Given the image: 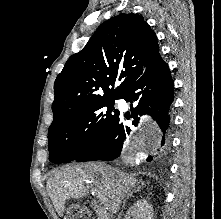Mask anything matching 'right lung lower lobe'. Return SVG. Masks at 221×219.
<instances>
[{
	"mask_svg": "<svg viewBox=\"0 0 221 219\" xmlns=\"http://www.w3.org/2000/svg\"><path fill=\"white\" fill-rule=\"evenodd\" d=\"M173 89L169 67L159 56L121 96L131 103L133 125L137 126L140 123L147 129L145 139L151 143V147L147 149V162L162 160L169 150L168 129L170 107L174 98ZM124 121V117L119 115L103 138L75 161H111L118 158L123 148H126L125 141L129 140L131 132Z\"/></svg>",
	"mask_w": 221,
	"mask_h": 219,
	"instance_id": "1",
	"label": "right lung lower lobe"
}]
</instances>
